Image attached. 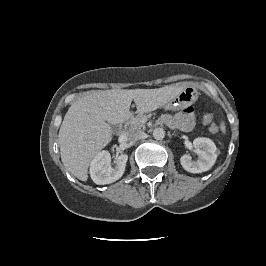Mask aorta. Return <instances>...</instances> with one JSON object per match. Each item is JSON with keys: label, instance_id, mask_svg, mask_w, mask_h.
Returning <instances> with one entry per match:
<instances>
[{"label": "aorta", "instance_id": "762f6f07", "mask_svg": "<svg viewBox=\"0 0 266 266\" xmlns=\"http://www.w3.org/2000/svg\"><path fill=\"white\" fill-rule=\"evenodd\" d=\"M153 137L156 140H162L165 137L164 129L161 128V127L155 128L154 131H153Z\"/></svg>", "mask_w": 266, "mask_h": 266}]
</instances>
